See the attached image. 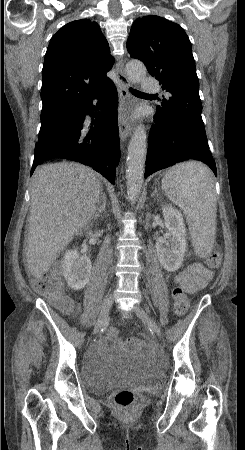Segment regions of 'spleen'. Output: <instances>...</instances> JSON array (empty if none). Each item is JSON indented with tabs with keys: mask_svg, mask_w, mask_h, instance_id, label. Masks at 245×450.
Returning <instances> with one entry per match:
<instances>
[{
	"mask_svg": "<svg viewBox=\"0 0 245 450\" xmlns=\"http://www.w3.org/2000/svg\"><path fill=\"white\" fill-rule=\"evenodd\" d=\"M162 189L185 214L195 253L208 256L216 235L217 200L212 171L198 161L177 164L164 175Z\"/></svg>",
	"mask_w": 245,
	"mask_h": 450,
	"instance_id": "spleen-1",
	"label": "spleen"
}]
</instances>
